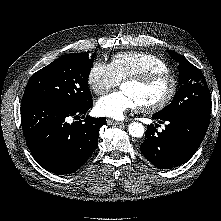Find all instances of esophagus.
<instances>
[{
  "instance_id": "obj_1",
  "label": "esophagus",
  "mask_w": 221,
  "mask_h": 221,
  "mask_svg": "<svg viewBox=\"0 0 221 221\" xmlns=\"http://www.w3.org/2000/svg\"><path fill=\"white\" fill-rule=\"evenodd\" d=\"M124 122L122 121H115V120H112V119H107V124L108 125H122Z\"/></svg>"
}]
</instances>
